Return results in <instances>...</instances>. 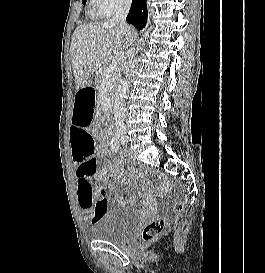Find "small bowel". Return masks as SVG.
I'll return each mask as SVG.
<instances>
[{"instance_id": "1", "label": "small bowel", "mask_w": 265, "mask_h": 273, "mask_svg": "<svg viewBox=\"0 0 265 273\" xmlns=\"http://www.w3.org/2000/svg\"><path fill=\"white\" fill-rule=\"evenodd\" d=\"M95 91H79L75 96L73 125L70 128V142L73 163L76 167L75 180L78 203L87 222H95L101 214L107 211V184L111 177L120 173L123 160L119 164H109L97 168L95 155H106L107 149L101 146L95 148L92 138L87 136L86 128L92 123V114L95 107ZM92 178L95 186L92 185ZM117 201L120 199L117 198ZM102 205L99 209L98 206Z\"/></svg>"}]
</instances>
